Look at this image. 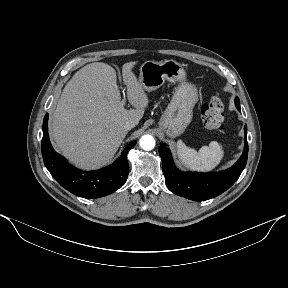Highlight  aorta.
Here are the masks:
<instances>
[{
  "label": "aorta",
  "mask_w": 288,
  "mask_h": 288,
  "mask_svg": "<svg viewBox=\"0 0 288 288\" xmlns=\"http://www.w3.org/2000/svg\"><path fill=\"white\" fill-rule=\"evenodd\" d=\"M139 144L143 150L150 151L155 147V140L151 135H144L141 137Z\"/></svg>",
  "instance_id": "obj_1"
}]
</instances>
